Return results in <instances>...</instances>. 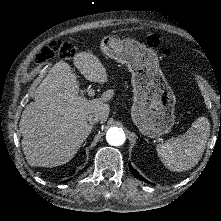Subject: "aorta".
Here are the masks:
<instances>
[{
  "instance_id": "1",
  "label": "aorta",
  "mask_w": 221,
  "mask_h": 221,
  "mask_svg": "<svg viewBox=\"0 0 221 221\" xmlns=\"http://www.w3.org/2000/svg\"><path fill=\"white\" fill-rule=\"evenodd\" d=\"M106 140L112 146H120L124 144L126 136L122 128L111 127L106 133Z\"/></svg>"
}]
</instances>
